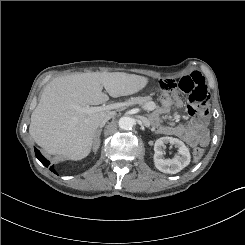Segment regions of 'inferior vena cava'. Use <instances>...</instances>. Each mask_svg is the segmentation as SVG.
I'll use <instances>...</instances> for the list:
<instances>
[{"mask_svg": "<svg viewBox=\"0 0 245 245\" xmlns=\"http://www.w3.org/2000/svg\"><path fill=\"white\" fill-rule=\"evenodd\" d=\"M114 116V112H109L103 119H102V121L100 122V124H99V126L101 127H103L105 124H106V122L109 120V119H111L112 117Z\"/></svg>", "mask_w": 245, "mask_h": 245, "instance_id": "inferior-vena-cava-1", "label": "inferior vena cava"}]
</instances>
